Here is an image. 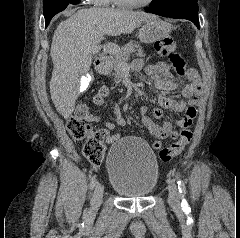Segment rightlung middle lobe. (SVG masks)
Segmentation results:
<instances>
[{"label":"right lung middle lobe","instance_id":"obj_1","mask_svg":"<svg viewBox=\"0 0 240 238\" xmlns=\"http://www.w3.org/2000/svg\"><path fill=\"white\" fill-rule=\"evenodd\" d=\"M78 0H44L43 13L45 17V26L58 12L63 11L69 4H77Z\"/></svg>","mask_w":240,"mask_h":238}]
</instances>
